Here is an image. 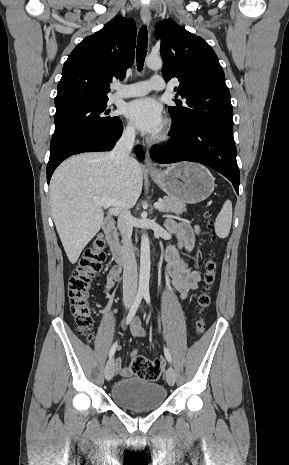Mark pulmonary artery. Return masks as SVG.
<instances>
[{"instance_id":"obj_1","label":"pulmonary artery","mask_w":289,"mask_h":465,"mask_svg":"<svg viewBox=\"0 0 289 465\" xmlns=\"http://www.w3.org/2000/svg\"><path fill=\"white\" fill-rule=\"evenodd\" d=\"M166 88L165 81L162 76L154 75L149 80L139 81L128 86L117 85L114 98H128L142 96L151 90H164Z\"/></svg>"}]
</instances>
